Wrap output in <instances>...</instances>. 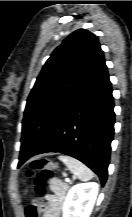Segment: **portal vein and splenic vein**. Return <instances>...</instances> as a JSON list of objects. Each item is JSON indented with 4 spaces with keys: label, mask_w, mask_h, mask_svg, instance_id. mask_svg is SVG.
<instances>
[{
    "label": "portal vein and splenic vein",
    "mask_w": 132,
    "mask_h": 217,
    "mask_svg": "<svg viewBox=\"0 0 132 217\" xmlns=\"http://www.w3.org/2000/svg\"><path fill=\"white\" fill-rule=\"evenodd\" d=\"M65 181H66V182H70V179H69V178H65Z\"/></svg>",
    "instance_id": "18ae733b"
}]
</instances>
